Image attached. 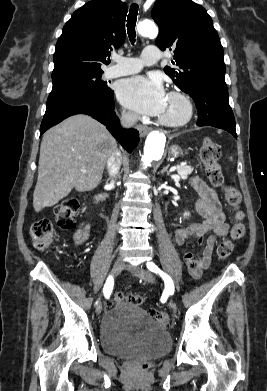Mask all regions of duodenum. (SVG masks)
<instances>
[{
  "label": "duodenum",
  "instance_id": "410a0bca",
  "mask_svg": "<svg viewBox=\"0 0 267 391\" xmlns=\"http://www.w3.org/2000/svg\"><path fill=\"white\" fill-rule=\"evenodd\" d=\"M105 200L104 194H99L95 197L94 203L97 207L101 208L103 201Z\"/></svg>",
  "mask_w": 267,
  "mask_h": 391
}]
</instances>
